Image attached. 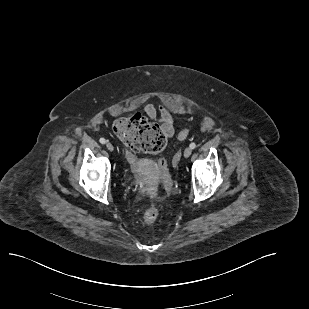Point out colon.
<instances>
[{
  "instance_id": "colon-1",
  "label": "colon",
  "mask_w": 309,
  "mask_h": 309,
  "mask_svg": "<svg viewBox=\"0 0 309 309\" xmlns=\"http://www.w3.org/2000/svg\"><path fill=\"white\" fill-rule=\"evenodd\" d=\"M115 135L129 148L134 151L158 154L164 151L167 145V139L164 132L158 125L148 122L141 114L117 119L113 124ZM188 131L183 130L179 134V139L187 138ZM160 170L166 173V160L159 162ZM159 210L156 207L148 208L144 213V222L152 224L156 221Z\"/></svg>"
}]
</instances>
